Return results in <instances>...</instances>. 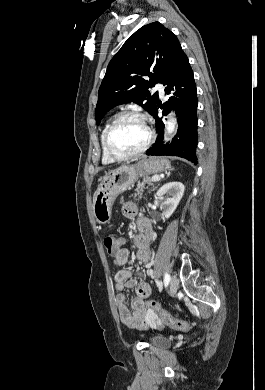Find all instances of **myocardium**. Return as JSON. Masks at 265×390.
I'll list each match as a JSON object with an SVG mask.
<instances>
[{
  "mask_svg": "<svg viewBox=\"0 0 265 390\" xmlns=\"http://www.w3.org/2000/svg\"><path fill=\"white\" fill-rule=\"evenodd\" d=\"M126 118H134V119L140 120L145 125V127L147 129L148 137H147L146 142L144 143V145L140 149H138L132 153H129V154H118L111 147V143H110L111 134H112L113 130L115 129V127L122 120H124ZM154 138H155L154 130H153L151 124L149 123V121L145 115H143L139 112H136V111H124V112L120 113L119 115H117L114 118V120L110 123V125L108 126V128L105 132V135H104V146H105V150H106L107 154L112 159H114L115 161H125V160H129V159H132L134 157H137V156L143 154L151 146L152 142L154 141Z\"/></svg>",
  "mask_w": 265,
  "mask_h": 390,
  "instance_id": "f54148a6",
  "label": "myocardium"
}]
</instances>
